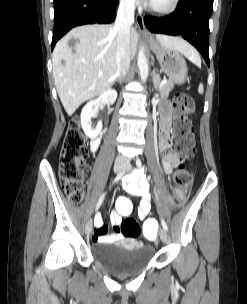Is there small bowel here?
<instances>
[{"label": "small bowel", "mask_w": 247, "mask_h": 304, "mask_svg": "<svg viewBox=\"0 0 247 304\" xmlns=\"http://www.w3.org/2000/svg\"><path fill=\"white\" fill-rule=\"evenodd\" d=\"M172 111V105L169 102L165 101L161 104L158 149L163 152L162 165L166 174L172 173L179 159L177 153L172 149ZM99 145V139L92 140L90 143L91 152H96ZM123 189L128 194L141 198L138 217L141 220L145 219L151 209V195L149 193V181L143 170L136 169L128 179L124 180ZM111 222L114 225V233L108 234V225L103 222L100 215L97 216L93 236L95 241H115L123 238V234L119 229L120 214L113 212L111 214Z\"/></svg>", "instance_id": "c3829d8e"}]
</instances>
